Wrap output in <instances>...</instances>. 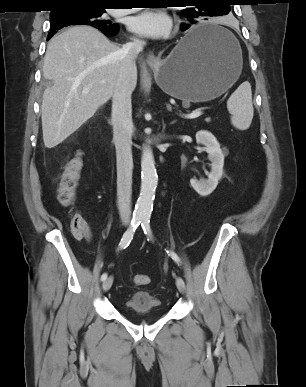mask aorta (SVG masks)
Returning a JSON list of instances; mask_svg holds the SVG:
<instances>
[{
  "mask_svg": "<svg viewBox=\"0 0 306 387\" xmlns=\"http://www.w3.org/2000/svg\"><path fill=\"white\" fill-rule=\"evenodd\" d=\"M158 184V176L152 150L144 146L141 157V189L136 201L134 214L138 218L150 217L153 210L155 191Z\"/></svg>",
  "mask_w": 306,
  "mask_h": 387,
  "instance_id": "aorta-1",
  "label": "aorta"
}]
</instances>
